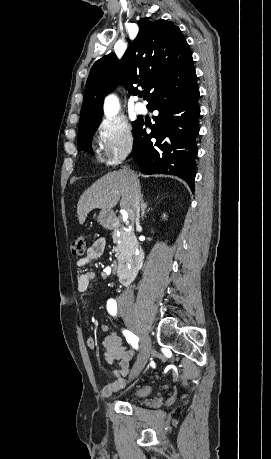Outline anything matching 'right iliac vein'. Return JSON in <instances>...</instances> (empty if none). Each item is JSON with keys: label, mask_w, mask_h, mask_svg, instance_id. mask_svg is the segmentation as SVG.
Listing matches in <instances>:
<instances>
[{"label": "right iliac vein", "mask_w": 271, "mask_h": 459, "mask_svg": "<svg viewBox=\"0 0 271 459\" xmlns=\"http://www.w3.org/2000/svg\"><path fill=\"white\" fill-rule=\"evenodd\" d=\"M120 313L122 315V317L124 318L126 324L132 329L134 330L138 336L140 337V342H141V353L140 355L138 356V359L135 363V365L133 366L132 370H131V376L134 378L136 376H138L142 369L144 368V366L146 365L149 357H150V354H151V350H152V344H151V341L148 337H146L143 333H142V330L140 328V326L137 324V321L133 315V311L132 309L130 310H126V309H120Z\"/></svg>", "instance_id": "obj_1"}]
</instances>
